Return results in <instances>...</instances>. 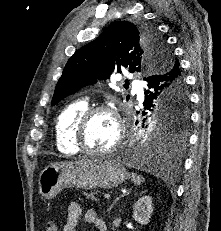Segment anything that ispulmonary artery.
<instances>
[{"instance_id":"e3ab8cb5","label":"pulmonary artery","mask_w":221,"mask_h":231,"mask_svg":"<svg viewBox=\"0 0 221 231\" xmlns=\"http://www.w3.org/2000/svg\"><path fill=\"white\" fill-rule=\"evenodd\" d=\"M131 84L133 85V87L135 86L136 84V81L135 80H131ZM140 95H142V92L140 93Z\"/></svg>"}]
</instances>
